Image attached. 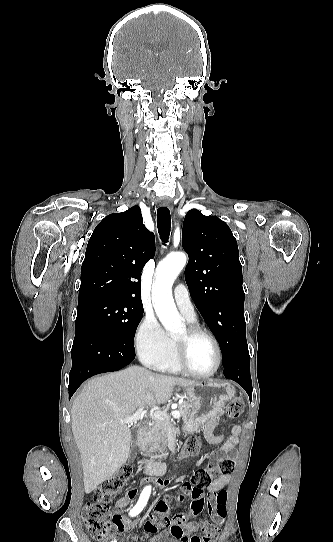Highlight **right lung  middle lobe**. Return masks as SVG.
Returning a JSON list of instances; mask_svg holds the SVG:
<instances>
[{
	"label": "right lung middle lobe",
	"instance_id": "dd1d6c3e",
	"mask_svg": "<svg viewBox=\"0 0 333 542\" xmlns=\"http://www.w3.org/2000/svg\"><path fill=\"white\" fill-rule=\"evenodd\" d=\"M143 313L142 305L94 297L78 304L76 321L86 318L101 324L120 344L135 352L133 340Z\"/></svg>",
	"mask_w": 333,
	"mask_h": 542
}]
</instances>
